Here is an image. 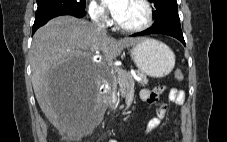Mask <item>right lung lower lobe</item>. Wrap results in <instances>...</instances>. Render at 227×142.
I'll return each mask as SVG.
<instances>
[{"mask_svg":"<svg viewBox=\"0 0 227 142\" xmlns=\"http://www.w3.org/2000/svg\"><path fill=\"white\" fill-rule=\"evenodd\" d=\"M62 15H71V16H75L77 18H82L85 15V11L62 10V11H54V12H50V13H46V14H43V15L36 16L35 22H34V25H33L32 34H34V32L39 27L44 25L50 19L57 17V16H62Z\"/></svg>","mask_w":227,"mask_h":142,"instance_id":"98d812e1","label":"right lung lower lobe"}]
</instances>
